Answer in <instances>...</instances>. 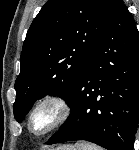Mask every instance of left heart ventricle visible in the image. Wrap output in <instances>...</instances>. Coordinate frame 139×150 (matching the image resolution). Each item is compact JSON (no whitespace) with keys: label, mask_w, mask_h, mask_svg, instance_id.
<instances>
[{"label":"left heart ventricle","mask_w":139,"mask_h":150,"mask_svg":"<svg viewBox=\"0 0 139 150\" xmlns=\"http://www.w3.org/2000/svg\"><path fill=\"white\" fill-rule=\"evenodd\" d=\"M53 111L49 108H45L39 111L33 119L32 128L35 132L44 130L53 119Z\"/></svg>","instance_id":"obj_1"}]
</instances>
